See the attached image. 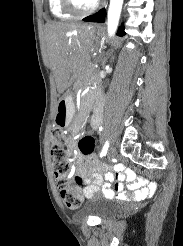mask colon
Listing matches in <instances>:
<instances>
[{
  "instance_id": "obj_1",
  "label": "colon",
  "mask_w": 183,
  "mask_h": 246,
  "mask_svg": "<svg viewBox=\"0 0 183 246\" xmlns=\"http://www.w3.org/2000/svg\"><path fill=\"white\" fill-rule=\"evenodd\" d=\"M65 118V113L58 114L57 126L53 128L51 133L52 167L64 205L69 209H77L82 204L81 190L85 184L81 177L72 176V168L68 160L67 141L62 130ZM95 138H97V133H94L93 130L86 133L78 143V152H82L84 157H97V152H94Z\"/></svg>"
}]
</instances>
